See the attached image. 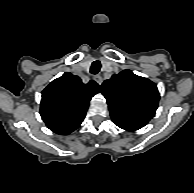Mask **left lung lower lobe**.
I'll list each match as a JSON object with an SVG mask.
<instances>
[{
  "mask_svg": "<svg viewBox=\"0 0 194 193\" xmlns=\"http://www.w3.org/2000/svg\"><path fill=\"white\" fill-rule=\"evenodd\" d=\"M113 122L120 128L124 129V130H128V131H134V130H138L140 129L141 127H138V126H135V125H132V124H128V123H125V122H121V121H116V120H113Z\"/></svg>",
  "mask_w": 194,
  "mask_h": 193,
  "instance_id": "left-lung-lower-lobe-1",
  "label": "left lung lower lobe"
}]
</instances>
